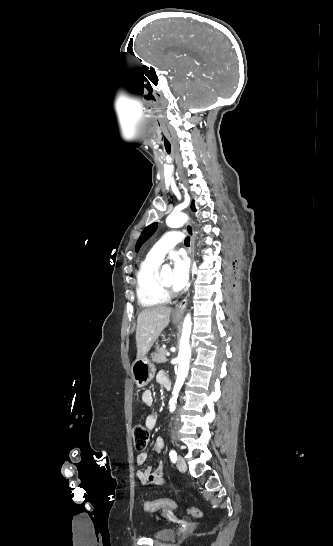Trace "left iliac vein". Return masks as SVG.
Masks as SVG:
<instances>
[{"instance_id": "1", "label": "left iliac vein", "mask_w": 333, "mask_h": 546, "mask_svg": "<svg viewBox=\"0 0 333 546\" xmlns=\"http://www.w3.org/2000/svg\"><path fill=\"white\" fill-rule=\"evenodd\" d=\"M177 468L179 469L180 472H185L187 470L186 462L184 458L180 455L178 456V459H177Z\"/></svg>"}]
</instances>
